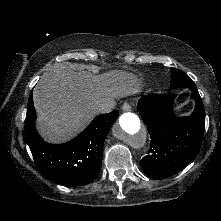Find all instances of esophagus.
I'll use <instances>...</instances> for the list:
<instances>
[{
    "label": "esophagus",
    "mask_w": 221,
    "mask_h": 221,
    "mask_svg": "<svg viewBox=\"0 0 221 221\" xmlns=\"http://www.w3.org/2000/svg\"><path fill=\"white\" fill-rule=\"evenodd\" d=\"M131 105L127 102H125L123 105H122V110L125 112V111H131Z\"/></svg>",
    "instance_id": "1"
}]
</instances>
